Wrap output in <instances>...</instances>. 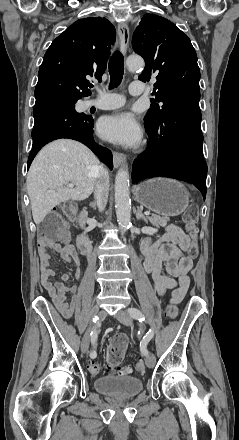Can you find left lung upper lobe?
<instances>
[{
  "instance_id": "5c2ea615",
  "label": "left lung upper lobe",
  "mask_w": 239,
  "mask_h": 440,
  "mask_svg": "<svg viewBox=\"0 0 239 440\" xmlns=\"http://www.w3.org/2000/svg\"><path fill=\"white\" fill-rule=\"evenodd\" d=\"M134 51L145 60V69L139 76L149 81L157 75L153 93L155 100L145 116L146 125L161 122L162 115L179 105L199 106L200 70L197 55L188 36L169 20L154 14L141 19L132 39Z\"/></svg>"
}]
</instances>
